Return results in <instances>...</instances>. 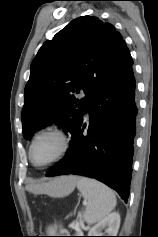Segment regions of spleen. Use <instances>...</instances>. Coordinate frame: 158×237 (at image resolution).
<instances>
[{
  "label": "spleen",
  "instance_id": "3e777b00",
  "mask_svg": "<svg viewBox=\"0 0 158 237\" xmlns=\"http://www.w3.org/2000/svg\"><path fill=\"white\" fill-rule=\"evenodd\" d=\"M77 188L86 201L83 218L87 224H95L103 220L116 206V196L109 187L101 182L79 177ZM56 226L48 228V233L54 234Z\"/></svg>",
  "mask_w": 158,
  "mask_h": 237
}]
</instances>
